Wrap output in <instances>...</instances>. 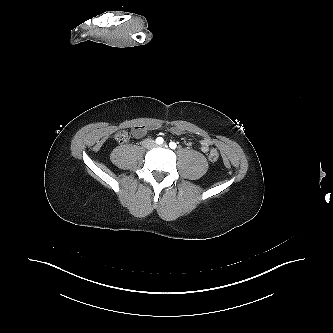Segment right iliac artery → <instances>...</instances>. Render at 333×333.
<instances>
[{
  "instance_id": "1",
  "label": "right iliac artery",
  "mask_w": 333,
  "mask_h": 333,
  "mask_svg": "<svg viewBox=\"0 0 333 333\" xmlns=\"http://www.w3.org/2000/svg\"><path fill=\"white\" fill-rule=\"evenodd\" d=\"M163 142H164V140H163L162 137H157V138H156V143H157V144L160 145V144H162Z\"/></svg>"
}]
</instances>
